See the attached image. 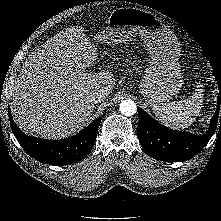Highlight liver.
<instances>
[{"mask_svg":"<svg viewBox=\"0 0 221 221\" xmlns=\"http://www.w3.org/2000/svg\"><path fill=\"white\" fill-rule=\"evenodd\" d=\"M97 54L80 26L66 28L32 52L13 88L10 107L17 126L46 139L67 138L85 127L95 107L91 94L109 95L116 81L108 71L86 73Z\"/></svg>","mask_w":221,"mask_h":221,"instance_id":"6515ba94","label":"liver"}]
</instances>
